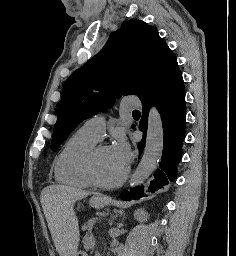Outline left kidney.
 Returning a JSON list of instances; mask_svg holds the SVG:
<instances>
[{"mask_svg": "<svg viewBox=\"0 0 236 256\" xmlns=\"http://www.w3.org/2000/svg\"><path fill=\"white\" fill-rule=\"evenodd\" d=\"M134 218L135 220H138V222H147L148 214L145 210H136Z\"/></svg>", "mask_w": 236, "mask_h": 256, "instance_id": "1", "label": "left kidney"}]
</instances>
